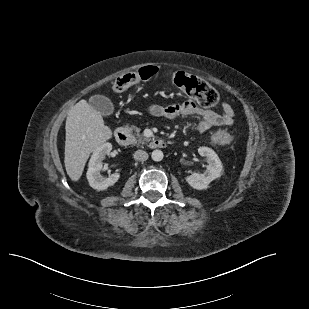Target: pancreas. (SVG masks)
Here are the masks:
<instances>
[{
	"mask_svg": "<svg viewBox=\"0 0 309 309\" xmlns=\"http://www.w3.org/2000/svg\"><path fill=\"white\" fill-rule=\"evenodd\" d=\"M128 127V126H127ZM131 131H135V144L140 145V144H145V142L148 141V138L144 137L143 135L139 134V129L135 126L128 127Z\"/></svg>",
	"mask_w": 309,
	"mask_h": 309,
	"instance_id": "pancreas-1",
	"label": "pancreas"
}]
</instances>
